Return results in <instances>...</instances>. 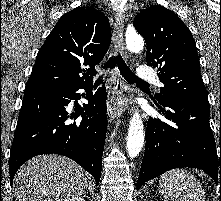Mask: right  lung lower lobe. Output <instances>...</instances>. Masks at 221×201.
Wrapping results in <instances>:
<instances>
[{"instance_id":"98d812e1","label":"right lung lower lobe","mask_w":221,"mask_h":201,"mask_svg":"<svg viewBox=\"0 0 221 201\" xmlns=\"http://www.w3.org/2000/svg\"><path fill=\"white\" fill-rule=\"evenodd\" d=\"M91 82L58 88H25L9 160L10 182L19 167L41 154L71 158L94 176L99 184L105 143L106 89L89 94L88 104L68 105L80 98L79 89L90 91ZM77 101H75L76 103ZM79 116L81 120L75 121Z\"/></svg>"}]
</instances>
